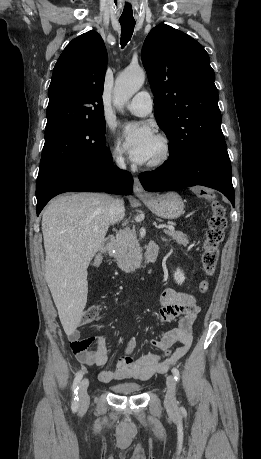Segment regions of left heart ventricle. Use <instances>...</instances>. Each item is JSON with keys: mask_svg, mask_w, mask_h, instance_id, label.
<instances>
[{"mask_svg": "<svg viewBox=\"0 0 261 459\" xmlns=\"http://www.w3.org/2000/svg\"><path fill=\"white\" fill-rule=\"evenodd\" d=\"M160 152H161V146H160L158 140L156 139V141H155V143H154V145L152 147L151 155H150V158H149L148 162L153 160V159H155L160 154Z\"/></svg>", "mask_w": 261, "mask_h": 459, "instance_id": "1", "label": "left heart ventricle"}]
</instances>
